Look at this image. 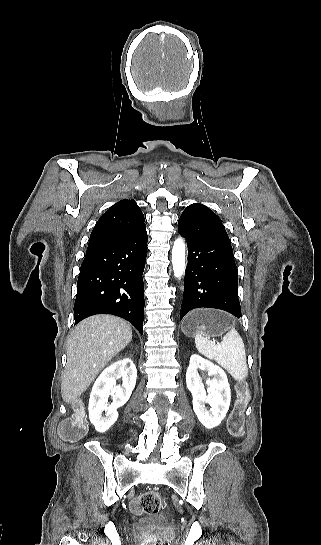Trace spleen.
Wrapping results in <instances>:
<instances>
[{"instance_id": "1", "label": "spleen", "mask_w": 321, "mask_h": 545, "mask_svg": "<svg viewBox=\"0 0 321 545\" xmlns=\"http://www.w3.org/2000/svg\"><path fill=\"white\" fill-rule=\"evenodd\" d=\"M195 345L201 355L216 361L235 381H245L248 375L245 345L236 329L232 327L219 345H214L212 341L204 339L201 333H197Z\"/></svg>"}]
</instances>
